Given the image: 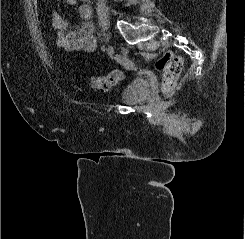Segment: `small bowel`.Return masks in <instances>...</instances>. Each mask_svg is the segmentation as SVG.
Returning a JSON list of instances; mask_svg holds the SVG:
<instances>
[{
    "instance_id": "c3829d8e",
    "label": "small bowel",
    "mask_w": 245,
    "mask_h": 239,
    "mask_svg": "<svg viewBox=\"0 0 245 239\" xmlns=\"http://www.w3.org/2000/svg\"><path fill=\"white\" fill-rule=\"evenodd\" d=\"M74 7L80 18L77 26L71 25L59 12L52 13V26L56 31L57 45L66 51L92 52L97 42L94 36L95 26L92 22L93 0H65Z\"/></svg>"
}]
</instances>
